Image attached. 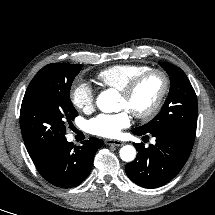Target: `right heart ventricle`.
I'll list each match as a JSON object with an SVG mask.
<instances>
[{
	"instance_id": "right-heart-ventricle-1",
	"label": "right heart ventricle",
	"mask_w": 215,
	"mask_h": 215,
	"mask_svg": "<svg viewBox=\"0 0 215 215\" xmlns=\"http://www.w3.org/2000/svg\"><path fill=\"white\" fill-rule=\"evenodd\" d=\"M141 64H117L106 67L96 74L97 82L104 87L122 90L133 78L149 70Z\"/></svg>"
}]
</instances>
